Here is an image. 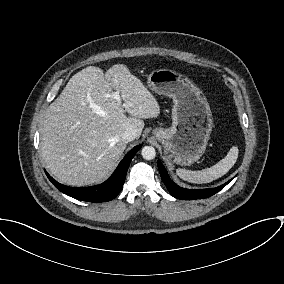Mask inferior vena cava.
<instances>
[{
  "instance_id": "1",
  "label": "inferior vena cava",
  "mask_w": 284,
  "mask_h": 284,
  "mask_svg": "<svg viewBox=\"0 0 284 284\" xmlns=\"http://www.w3.org/2000/svg\"><path fill=\"white\" fill-rule=\"evenodd\" d=\"M123 139L127 142L133 141L136 138V132L132 128H128L123 133Z\"/></svg>"
}]
</instances>
